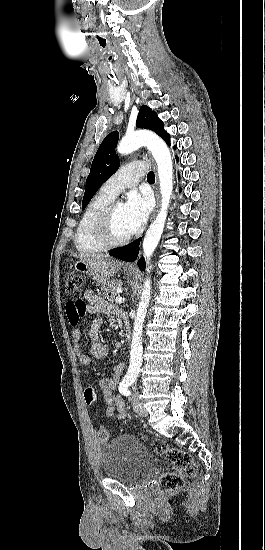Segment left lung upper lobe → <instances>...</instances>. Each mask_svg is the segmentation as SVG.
I'll return each mask as SVG.
<instances>
[{
  "instance_id": "5c2ea615",
  "label": "left lung upper lobe",
  "mask_w": 265,
  "mask_h": 550,
  "mask_svg": "<svg viewBox=\"0 0 265 550\" xmlns=\"http://www.w3.org/2000/svg\"><path fill=\"white\" fill-rule=\"evenodd\" d=\"M136 126L157 133L170 146V136L164 130L163 122L156 112L143 105L138 113ZM119 134L114 131L107 135L99 146L86 180L82 209L89 203L99 187L119 168L120 162L115 152Z\"/></svg>"
}]
</instances>
